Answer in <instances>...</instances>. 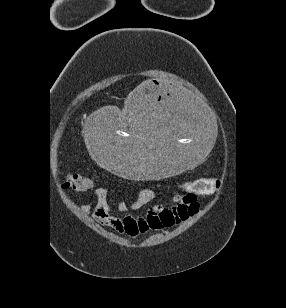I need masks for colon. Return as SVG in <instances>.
I'll list each match as a JSON object with an SVG mask.
<instances>
[{"label":"colon","instance_id":"obj_1","mask_svg":"<svg viewBox=\"0 0 286 308\" xmlns=\"http://www.w3.org/2000/svg\"><path fill=\"white\" fill-rule=\"evenodd\" d=\"M188 184L192 191L200 195L213 193L220 187V181L216 178L197 179L188 182ZM63 186L75 192H85L92 188L93 180L86 175L68 173L63 181Z\"/></svg>","mask_w":286,"mask_h":308}]
</instances>
